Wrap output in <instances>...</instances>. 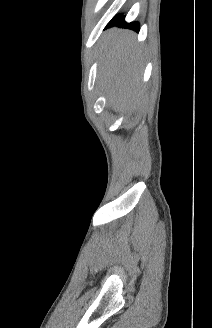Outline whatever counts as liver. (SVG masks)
<instances>
[{"mask_svg": "<svg viewBox=\"0 0 212 328\" xmlns=\"http://www.w3.org/2000/svg\"><path fill=\"white\" fill-rule=\"evenodd\" d=\"M101 81L114 111H126L138 102L141 93L144 55L130 31L113 29L102 46Z\"/></svg>", "mask_w": 212, "mask_h": 328, "instance_id": "liver-1", "label": "liver"}]
</instances>
